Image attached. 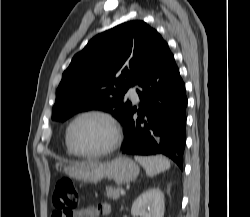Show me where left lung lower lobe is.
<instances>
[{"label":"left lung lower lobe","mask_w":250,"mask_h":217,"mask_svg":"<svg viewBox=\"0 0 250 217\" xmlns=\"http://www.w3.org/2000/svg\"><path fill=\"white\" fill-rule=\"evenodd\" d=\"M137 90L139 108L131 107L124 126L122 153L136 155L162 154L183 169L186 143L187 98L167 43L163 40L155 60L140 78ZM138 114V118L134 114Z\"/></svg>","instance_id":"obj_1"}]
</instances>
